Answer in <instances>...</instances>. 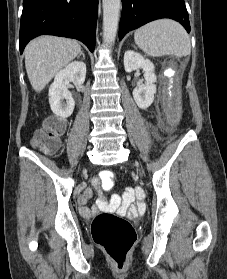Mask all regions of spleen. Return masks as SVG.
Instances as JSON below:
<instances>
[{"mask_svg": "<svg viewBox=\"0 0 227 279\" xmlns=\"http://www.w3.org/2000/svg\"><path fill=\"white\" fill-rule=\"evenodd\" d=\"M135 43L149 56H187L191 52L190 39L185 29L177 22L161 19L137 29Z\"/></svg>", "mask_w": 227, "mask_h": 279, "instance_id": "obj_1", "label": "spleen"}]
</instances>
